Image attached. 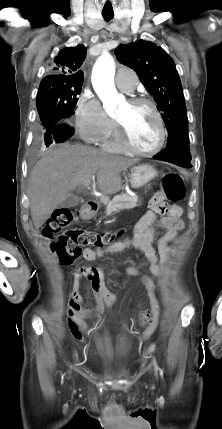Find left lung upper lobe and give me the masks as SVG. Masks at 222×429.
I'll use <instances>...</instances> for the list:
<instances>
[{
	"instance_id": "5c2ea615",
	"label": "left lung upper lobe",
	"mask_w": 222,
	"mask_h": 429,
	"mask_svg": "<svg viewBox=\"0 0 222 429\" xmlns=\"http://www.w3.org/2000/svg\"><path fill=\"white\" fill-rule=\"evenodd\" d=\"M115 54L121 63L136 71L154 96L168 131L167 147H189L185 100L173 60L161 47L145 40L120 45Z\"/></svg>"
}]
</instances>
